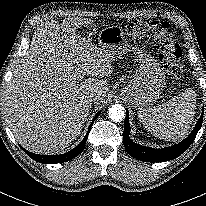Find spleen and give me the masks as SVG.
<instances>
[{
    "label": "spleen",
    "mask_w": 206,
    "mask_h": 206,
    "mask_svg": "<svg viewBox=\"0 0 206 206\" xmlns=\"http://www.w3.org/2000/svg\"><path fill=\"white\" fill-rule=\"evenodd\" d=\"M195 108L196 93L188 88L168 102L138 113V117L145 129L155 137L175 141L188 133Z\"/></svg>",
    "instance_id": "obj_1"
}]
</instances>
